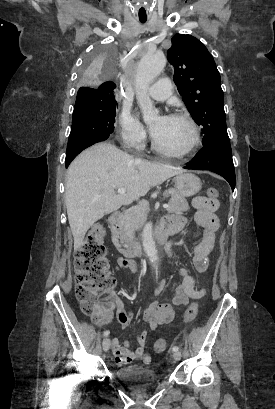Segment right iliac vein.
<instances>
[{
  "mask_svg": "<svg viewBox=\"0 0 275 409\" xmlns=\"http://www.w3.org/2000/svg\"><path fill=\"white\" fill-rule=\"evenodd\" d=\"M111 346V342L109 338H104L103 343H102V347L104 351H108L110 349Z\"/></svg>",
  "mask_w": 275,
  "mask_h": 409,
  "instance_id": "right-iliac-vein-1",
  "label": "right iliac vein"
}]
</instances>
